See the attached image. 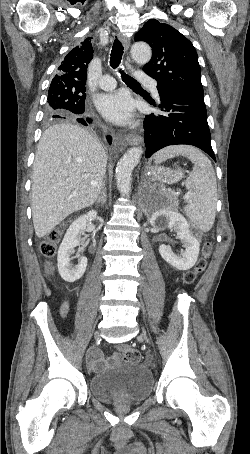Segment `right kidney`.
Listing matches in <instances>:
<instances>
[{
  "instance_id": "right-kidney-1",
  "label": "right kidney",
  "mask_w": 250,
  "mask_h": 454,
  "mask_svg": "<svg viewBox=\"0 0 250 454\" xmlns=\"http://www.w3.org/2000/svg\"><path fill=\"white\" fill-rule=\"evenodd\" d=\"M97 212L95 210L89 211L78 217L68 228L63 241L58 250V271L60 276L66 282H75L80 279L87 267V258L80 256L78 264L72 265L70 263V256L74 253L75 247L84 243V238L81 235H85L86 224L88 220L95 219Z\"/></svg>"
}]
</instances>
